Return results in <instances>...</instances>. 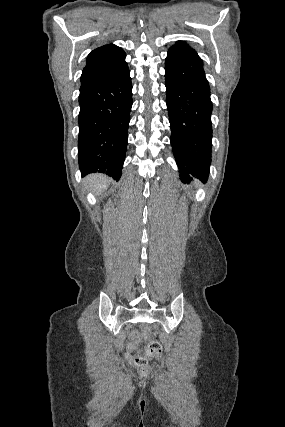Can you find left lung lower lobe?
<instances>
[{
	"instance_id": "left-lung-lower-lobe-1",
	"label": "left lung lower lobe",
	"mask_w": 285,
	"mask_h": 427,
	"mask_svg": "<svg viewBox=\"0 0 285 427\" xmlns=\"http://www.w3.org/2000/svg\"><path fill=\"white\" fill-rule=\"evenodd\" d=\"M165 82L170 141L180 179L187 182L192 175L205 182L211 163L212 102L202 59L188 52H168Z\"/></svg>"
}]
</instances>
